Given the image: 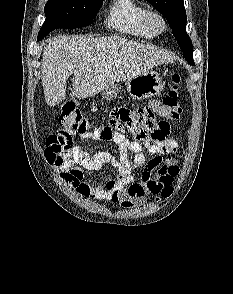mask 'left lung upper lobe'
<instances>
[{
	"mask_svg": "<svg viewBox=\"0 0 233 294\" xmlns=\"http://www.w3.org/2000/svg\"><path fill=\"white\" fill-rule=\"evenodd\" d=\"M167 19L172 33L177 40L179 47L183 50L185 59L189 64L194 65L193 46L191 39L186 33V10L183 0H147Z\"/></svg>",
	"mask_w": 233,
	"mask_h": 294,
	"instance_id": "1",
	"label": "left lung upper lobe"
}]
</instances>
